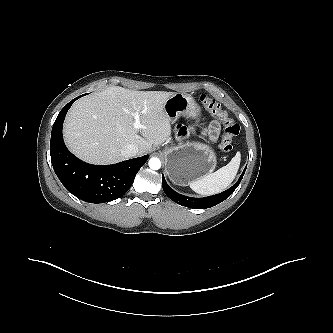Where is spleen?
<instances>
[{
	"label": "spleen",
	"mask_w": 333,
	"mask_h": 333,
	"mask_svg": "<svg viewBox=\"0 0 333 333\" xmlns=\"http://www.w3.org/2000/svg\"><path fill=\"white\" fill-rule=\"evenodd\" d=\"M240 161L241 154L237 152L226 166L199 180L190 182V188L201 195H212L225 190L235 179Z\"/></svg>",
	"instance_id": "3e777b00"
}]
</instances>
